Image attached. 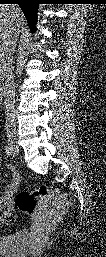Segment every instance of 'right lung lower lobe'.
Wrapping results in <instances>:
<instances>
[{
    "instance_id": "obj_1",
    "label": "right lung lower lobe",
    "mask_w": 106,
    "mask_h": 257,
    "mask_svg": "<svg viewBox=\"0 0 106 257\" xmlns=\"http://www.w3.org/2000/svg\"><path fill=\"white\" fill-rule=\"evenodd\" d=\"M0 3L18 4L24 12L31 31H35V19L39 0H0Z\"/></svg>"
}]
</instances>
